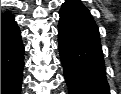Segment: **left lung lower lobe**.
<instances>
[{"mask_svg": "<svg viewBox=\"0 0 121 94\" xmlns=\"http://www.w3.org/2000/svg\"><path fill=\"white\" fill-rule=\"evenodd\" d=\"M59 15L58 46L69 94H110L95 21L64 4Z\"/></svg>", "mask_w": 121, "mask_h": 94, "instance_id": "obj_1", "label": "left lung lower lobe"}]
</instances>
